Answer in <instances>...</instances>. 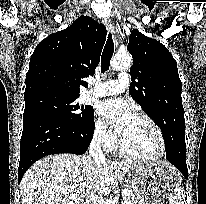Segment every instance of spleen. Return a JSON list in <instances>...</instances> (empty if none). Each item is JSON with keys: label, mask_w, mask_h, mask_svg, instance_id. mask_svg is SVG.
<instances>
[{"label": "spleen", "mask_w": 206, "mask_h": 204, "mask_svg": "<svg viewBox=\"0 0 206 204\" xmlns=\"http://www.w3.org/2000/svg\"><path fill=\"white\" fill-rule=\"evenodd\" d=\"M183 190H175L169 197V204H184L183 201Z\"/></svg>", "instance_id": "1"}]
</instances>
